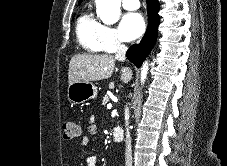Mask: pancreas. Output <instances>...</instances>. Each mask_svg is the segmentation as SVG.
Masks as SVG:
<instances>
[{
  "label": "pancreas",
  "instance_id": "cf45deb5",
  "mask_svg": "<svg viewBox=\"0 0 227 166\" xmlns=\"http://www.w3.org/2000/svg\"><path fill=\"white\" fill-rule=\"evenodd\" d=\"M108 102H109V97L107 95H105L103 97V103L102 104L105 106Z\"/></svg>",
  "mask_w": 227,
  "mask_h": 166
}]
</instances>
